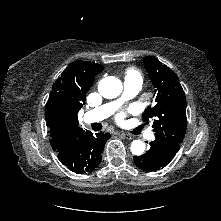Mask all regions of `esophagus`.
Masks as SVG:
<instances>
[{
  "mask_svg": "<svg viewBox=\"0 0 221 221\" xmlns=\"http://www.w3.org/2000/svg\"><path fill=\"white\" fill-rule=\"evenodd\" d=\"M118 134L121 135L122 137L126 138V139H129V140L133 139V136L128 134V133H123L122 132V133H118Z\"/></svg>",
  "mask_w": 221,
  "mask_h": 221,
  "instance_id": "obj_1",
  "label": "esophagus"
}]
</instances>
